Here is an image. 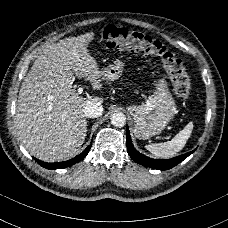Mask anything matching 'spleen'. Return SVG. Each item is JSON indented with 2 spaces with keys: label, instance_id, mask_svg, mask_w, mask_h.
I'll return each mask as SVG.
<instances>
[{
  "label": "spleen",
  "instance_id": "1",
  "mask_svg": "<svg viewBox=\"0 0 228 228\" xmlns=\"http://www.w3.org/2000/svg\"><path fill=\"white\" fill-rule=\"evenodd\" d=\"M193 124L189 123L182 131H180L171 141L158 144H148L146 148L158 157H171L181 150L191 134Z\"/></svg>",
  "mask_w": 228,
  "mask_h": 228
}]
</instances>
